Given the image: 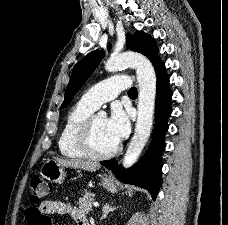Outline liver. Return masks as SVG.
<instances>
[{
    "instance_id": "1",
    "label": "liver",
    "mask_w": 228,
    "mask_h": 225,
    "mask_svg": "<svg viewBox=\"0 0 228 225\" xmlns=\"http://www.w3.org/2000/svg\"><path fill=\"white\" fill-rule=\"evenodd\" d=\"M61 165H66V167H72V169H85V171H96L100 169L98 163H93V161H64V159H56Z\"/></svg>"
}]
</instances>
